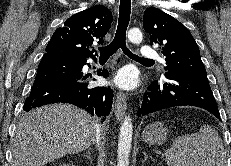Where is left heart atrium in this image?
Listing matches in <instances>:
<instances>
[{
    "instance_id": "1",
    "label": "left heart atrium",
    "mask_w": 231,
    "mask_h": 166,
    "mask_svg": "<svg viewBox=\"0 0 231 166\" xmlns=\"http://www.w3.org/2000/svg\"><path fill=\"white\" fill-rule=\"evenodd\" d=\"M114 83L123 89H134L138 85V75L136 70L131 67L120 69L114 77Z\"/></svg>"
}]
</instances>
